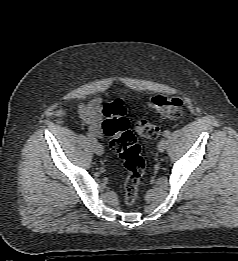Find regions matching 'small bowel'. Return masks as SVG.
<instances>
[{"mask_svg":"<svg viewBox=\"0 0 238 261\" xmlns=\"http://www.w3.org/2000/svg\"><path fill=\"white\" fill-rule=\"evenodd\" d=\"M82 124L87 126L91 133L96 137H101L103 105L100 98H92L87 103H81L78 108Z\"/></svg>","mask_w":238,"mask_h":261,"instance_id":"c3829d8e","label":"small bowel"}]
</instances>
